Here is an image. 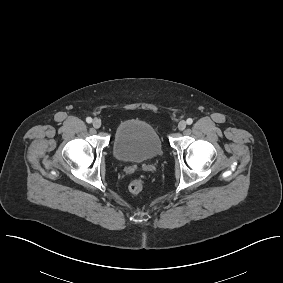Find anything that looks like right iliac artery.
<instances>
[{
    "label": "right iliac artery",
    "mask_w": 283,
    "mask_h": 283,
    "mask_svg": "<svg viewBox=\"0 0 283 283\" xmlns=\"http://www.w3.org/2000/svg\"><path fill=\"white\" fill-rule=\"evenodd\" d=\"M86 122H87V123H91V122H92V118H91V117H87V118H86Z\"/></svg>",
    "instance_id": "1"
}]
</instances>
